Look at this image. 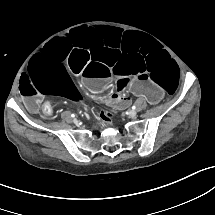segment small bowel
<instances>
[{"label": "small bowel", "instance_id": "small-bowel-1", "mask_svg": "<svg viewBox=\"0 0 215 215\" xmlns=\"http://www.w3.org/2000/svg\"><path fill=\"white\" fill-rule=\"evenodd\" d=\"M111 99L116 102L118 105L122 106L125 105L127 103V100L124 98V96L120 93V92H114L111 95ZM39 98H34L32 99L29 103H28V108L32 111V112H36L39 108Z\"/></svg>", "mask_w": 215, "mask_h": 215}]
</instances>
